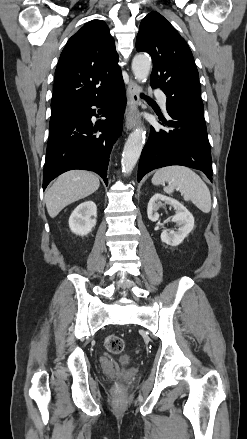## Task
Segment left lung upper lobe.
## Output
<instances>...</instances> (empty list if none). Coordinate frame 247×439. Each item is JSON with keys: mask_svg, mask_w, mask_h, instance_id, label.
<instances>
[{"mask_svg": "<svg viewBox=\"0 0 247 439\" xmlns=\"http://www.w3.org/2000/svg\"><path fill=\"white\" fill-rule=\"evenodd\" d=\"M138 52L151 55V86L167 96V110L204 117L201 87L192 52L175 28L158 12H151L139 27Z\"/></svg>", "mask_w": 247, "mask_h": 439, "instance_id": "obj_1", "label": "left lung upper lobe"}]
</instances>
